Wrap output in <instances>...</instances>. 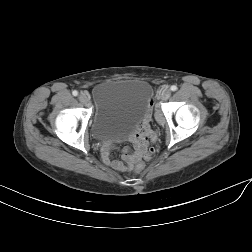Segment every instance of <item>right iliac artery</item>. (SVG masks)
<instances>
[{
    "label": "right iliac artery",
    "instance_id": "obj_1",
    "mask_svg": "<svg viewBox=\"0 0 252 252\" xmlns=\"http://www.w3.org/2000/svg\"><path fill=\"white\" fill-rule=\"evenodd\" d=\"M72 94H73L74 96H77V95H78V92H77L76 90H74V91L72 92Z\"/></svg>",
    "mask_w": 252,
    "mask_h": 252
}]
</instances>
